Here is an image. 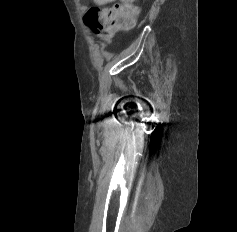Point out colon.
<instances>
[{"label":"colon","mask_w":237,"mask_h":232,"mask_svg":"<svg viewBox=\"0 0 237 232\" xmlns=\"http://www.w3.org/2000/svg\"><path fill=\"white\" fill-rule=\"evenodd\" d=\"M113 0H98L99 4L112 2ZM135 0H121L111 7L90 8L85 16L86 25L102 41L109 43L118 32L132 29L137 21L138 9Z\"/></svg>","instance_id":"obj_1"}]
</instances>
